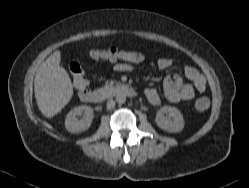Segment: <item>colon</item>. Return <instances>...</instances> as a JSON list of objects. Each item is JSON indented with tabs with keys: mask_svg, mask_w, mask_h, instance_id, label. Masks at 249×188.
Masks as SVG:
<instances>
[{
	"mask_svg": "<svg viewBox=\"0 0 249 188\" xmlns=\"http://www.w3.org/2000/svg\"><path fill=\"white\" fill-rule=\"evenodd\" d=\"M89 57L93 60H125L134 58L128 51L119 50L116 47H110L106 50H94L91 51ZM69 71L72 77V84L77 90L78 95L81 98H86L88 92V80L86 79L85 73L79 62L73 61L69 64ZM209 99L207 97H200L195 103V107L198 111H206L209 107Z\"/></svg>",
	"mask_w": 249,
	"mask_h": 188,
	"instance_id": "obj_1",
	"label": "colon"
}]
</instances>
